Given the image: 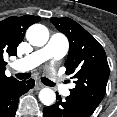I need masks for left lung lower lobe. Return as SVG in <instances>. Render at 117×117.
<instances>
[{
  "label": "left lung lower lobe",
  "mask_w": 117,
  "mask_h": 117,
  "mask_svg": "<svg viewBox=\"0 0 117 117\" xmlns=\"http://www.w3.org/2000/svg\"><path fill=\"white\" fill-rule=\"evenodd\" d=\"M57 100L54 105L44 107V117H89L94 112L72 96L62 100L57 95Z\"/></svg>",
  "instance_id": "obj_1"
}]
</instances>
